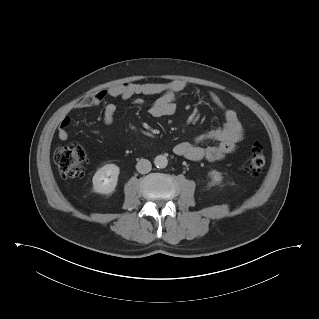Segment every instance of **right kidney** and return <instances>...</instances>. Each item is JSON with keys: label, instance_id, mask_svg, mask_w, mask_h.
<instances>
[{"label": "right kidney", "instance_id": "1", "mask_svg": "<svg viewBox=\"0 0 319 319\" xmlns=\"http://www.w3.org/2000/svg\"><path fill=\"white\" fill-rule=\"evenodd\" d=\"M119 167L115 164H106L96 171L93 176V190L96 193L108 194L115 190Z\"/></svg>", "mask_w": 319, "mask_h": 319}]
</instances>
